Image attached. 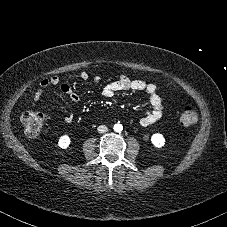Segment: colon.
Wrapping results in <instances>:
<instances>
[{
    "label": "colon",
    "instance_id": "colon-1",
    "mask_svg": "<svg viewBox=\"0 0 227 227\" xmlns=\"http://www.w3.org/2000/svg\"><path fill=\"white\" fill-rule=\"evenodd\" d=\"M198 119V112L193 104H186L179 115V122L183 127L193 126ZM45 117L38 111L25 112L20 120L24 132L28 136H36L39 134L44 124Z\"/></svg>",
    "mask_w": 227,
    "mask_h": 227
}]
</instances>
